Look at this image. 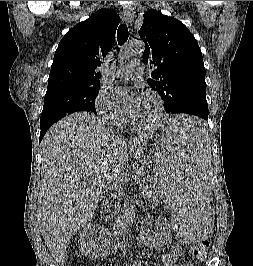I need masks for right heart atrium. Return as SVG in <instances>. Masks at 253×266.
<instances>
[{"label": "right heart atrium", "instance_id": "d8ad5b80", "mask_svg": "<svg viewBox=\"0 0 253 266\" xmlns=\"http://www.w3.org/2000/svg\"><path fill=\"white\" fill-rule=\"evenodd\" d=\"M95 108L100 117L109 124H123L126 116L113 94L101 88L95 98Z\"/></svg>", "mask_w": 253, "mask_h": 266}]
</instances>
